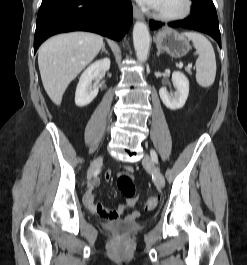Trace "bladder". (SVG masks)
I'll return each instance as SVG.
<instances>
[{"label": "bladder", "instance_id": "bladder-1", "mask_svg": "<svg viewBox=\"0 0 247 265\" xmlns=\"http://www.w3.org/2000/svg\"><path fill=\"white\" fill-rule=\"evenodd\" d=\"M104 228L114 235H127L142 229V224L128 220H116L104 224Z\"/></svg>", "mask_w": 247, "mask_h": 265}]
</instances>
